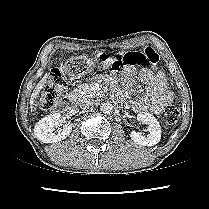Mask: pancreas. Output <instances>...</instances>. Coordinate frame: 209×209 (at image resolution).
<instances>
[{
  "mask_svg": "<svg viewBox=\"0 0 209 209\" xmlns=\"http://www.w3.org/2000/svg\"><path fill=\"white\" fill-rule=\"evenodd\" d=\"M74 94L78 99L85 97H99L102 91L95 88L94 84H83L78 89L74 90Z\"/></svg>",
  "mask_w": 209,
  "mask_h": 209,
  "instance_id": "obj_1",
  "label": "pancreas"
}]
</instances>
